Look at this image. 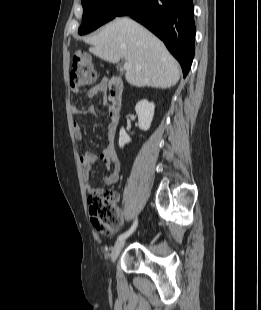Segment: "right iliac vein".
<instances>
[{
  "mask_svg": "<svg viewBox=\"0 0 261 310\" xmlns=\"http://www.w3.org/2000/svg\"><path fill=\"white\" fill-rule=\"evenodd\" d=\"M125 245V239L118 240L111 251V262L114 263Z\"/></svg>",
  "mask_w": 261,
  "mask_h": 310,
  "instance_id": "right-iliac-vein-1",
  "label": "right iliac vein"
}]
</instances>
